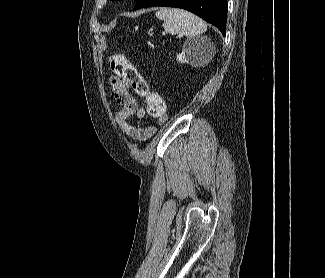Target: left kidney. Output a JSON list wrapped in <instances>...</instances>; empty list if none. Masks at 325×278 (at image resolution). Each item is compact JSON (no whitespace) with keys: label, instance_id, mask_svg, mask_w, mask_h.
<instances>
[{"label":"left kidney","instance_id":"1","mask_svg":"<svg viewBox=\"0 0 325 278\" xmlns=\"http://www.w3.org/2000/svg\"><path fill=\"white\" fill-rule=\"evenodd\" d=\"M193 57V52H191V49L187 45H185L182 53L178 54L176 59L179 63L192 64L194 61Z\"/></svg>","mask_w":325,"mask_h":278}]
</instances>
